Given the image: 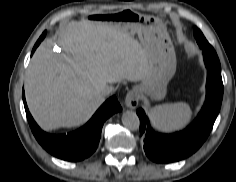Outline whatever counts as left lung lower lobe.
<instances>
[{
  "label": "left lung lower lobe",
  "mask_w": 236,
  "mask_h": 182,
  "mask_svg": "<svg viewBox=\"0 0 236 182\" xmlns=\"http://www.w3.org/2000/svg\"><path fill=\"white\" fill-rule=\"evenodd\" d=\"M206 100L201 112L185 130L174 134H159L150 127L143 109H138L140 132L144 134V151L157 163L182 160L196 152L208 137L219 113L223 98L221 71L208 68Z\"/></svg>",
  "instance_id": "left-lung-lower-lobe-1"
}]
</instances>
